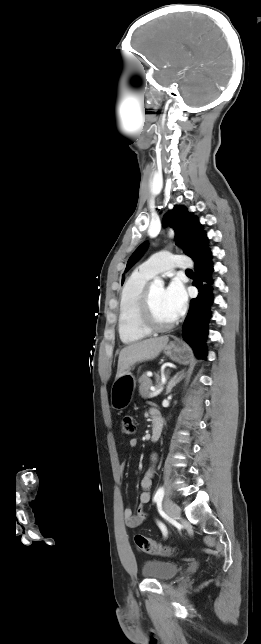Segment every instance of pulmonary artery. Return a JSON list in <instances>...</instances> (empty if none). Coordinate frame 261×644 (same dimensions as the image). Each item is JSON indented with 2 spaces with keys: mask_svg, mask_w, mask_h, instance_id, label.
Returning <instances> with one entry per match:
<instances>
[{
  "mask_svg": "<svg viewBox=\"0 0 261 644\" xmlns=\"http://www.w3.org/2000/svg\"><path fill=\"white\" fill-rule=\"evenodd\" d=\"M192 267L191 260L184 255H176L169 252H160L152 256L139 266V270L153 277L156 274L172 270L174 268L188 269Z\"/></svg>",
  "mask_w": 261,
  "mask_h": 644,
  "instance_id": "obj_1",
  "label": "pulmonary artery"
}]
</instances>
